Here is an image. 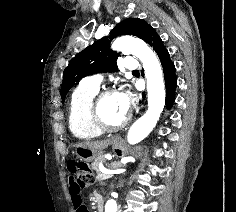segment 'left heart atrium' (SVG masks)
Returning <instances> with one entry per match:
<instances>
[{"mask_svg":"<svg viewBox=\"0 0 236 212\" xmlns=\"http://www.w3.org/2000/svg\"><path fill=\"white\" fill-rule=\"evenodd\" d=\"M116 98L121 114L126 116L133 104L131 94L126 91L118 92L116 93Z\"/></svg>","mask_w":236,"mask_h":212,"instance_id":"39dd6f15","label":"left heart atrium"}]
</instances>
